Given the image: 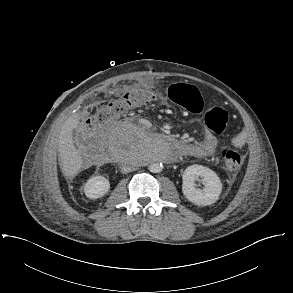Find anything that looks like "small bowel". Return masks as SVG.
I'll list each match as a JSON object with an SVG mask.
<instances>
[{
    "mask_svg": "<svg viewBox=\"0 0 293 293\" xmlns=\"http://www.w3.org/2000/svg\"><path fill=\"white\" fill-rule=\"evenodd\" d=\"M143 124L144 126H147L148 122H144ZM245 142V135L243 133H239L232 138L231 145L233 147L240 148L245 145ZM217 145V138L213 134L207 132L201 141L189 143L188 151L185 154L194 157H208L215 152Z\"/></svg>",
    "mask_w": 293,
    "mask_h": 293,
    "instance_id": "obj_1",
    "label": "small bowel"
}]
</instances>
